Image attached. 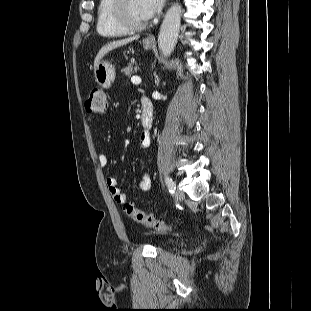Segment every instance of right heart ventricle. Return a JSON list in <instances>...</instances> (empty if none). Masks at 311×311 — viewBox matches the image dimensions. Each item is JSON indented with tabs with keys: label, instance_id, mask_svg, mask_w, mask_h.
Instances as JSON below:
<instances>
[{
	"label": "right heart ventricle",
	"instance_id": "right-heart-ventricle-1",
	"mask_svg": "<svg viewBox=\"0 0 311 311\" xmlns=\"http://www.w3.org/2000/svg\"><path fill=\"white\" fill-rule=\"evenodd\" d=\"M112 0H99L96 9V30L105 37H121L128 33L113 18L111 13Z\"/></svg>",
	"mask_w": 311,
	"mask_h": 311
}]
</instances>
